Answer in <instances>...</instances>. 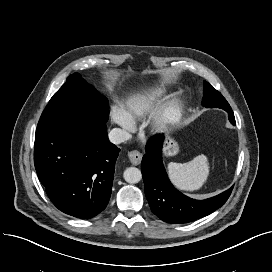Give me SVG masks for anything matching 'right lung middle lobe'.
I'll return each instance as SVG.
<instances>
[{"instance_id": "right-lung-middle-lobe-1", "label": "right lung middle lobe", "mask_w": 272, "mask_h": 272, "mask_svg": "<svg viewBox=\"0 0 272 272\" xmlns=\"http://www.w3.org/2000/svg\"><path fill=\"white\" fill-rule=\"evenodd\" d=\"M108 116L106 97L100 95L80 74L74 73L50 99L37 128L60 126L76 117L101 124L107 122Z\"/></svg>"}]
</instances>
